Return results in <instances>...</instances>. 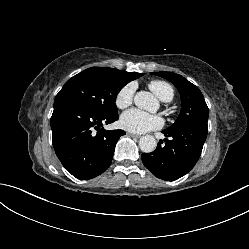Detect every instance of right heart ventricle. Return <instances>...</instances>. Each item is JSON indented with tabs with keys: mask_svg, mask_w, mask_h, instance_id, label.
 Here are the masks:
<instances>
[{
	"mask_svg": "<svg viewBox=\"0 0 249 249\" xmlns=\"http://www.w3.org/2000/svg\"><path fill=\"white\" fill-rule=\"evenodd\" d=\"M148 87L163 102H170L174 98L173 87L165 81L153 80Z\"/></svg>",
	"mask_w": 249,
	"mask_h": 249,
	"instance_id": "obj_1",
	"label": "right heart ventricle"
}]
</instances>
